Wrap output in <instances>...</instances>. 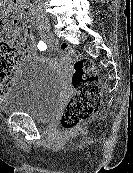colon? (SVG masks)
<instances>
[{
	"label": "colon",
	"instance_id": "1",
	"mask_svg": "<svg viewBox=\"0 0 133 173\" xmlns=\"http://www.w3.org/2000/svg\"><path fill=\"white\" fill-rule=\"evenodd\" d=\"M27 31L28 26L17 22L10 13L0 20V97L10 83L21 58L11 41L25 35ZM57 49L73 59L70 77L73 94L60 118L61 126L70 130L95 114L100 104L101 84L92 60L83 57L66 44L58 45Z\"/></svg>",
	"mask_w": 133,
	"mask_h": 173
}]
</instances>
